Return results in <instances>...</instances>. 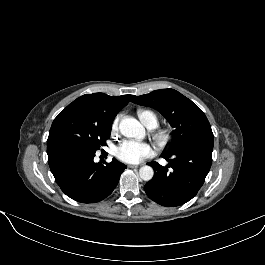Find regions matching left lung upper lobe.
Here are the masks:
<instances>
[{
    "instance_id": "left-lung-upper-lobe-1",
    "label": "left lung upper lobe",
    "mask_w": 265,
    "mask_h": 265,
    "mask_svg": "<svg viewBox=\"0 0 265 265\" xmlns=\"http://www.w3.org/2000/svg\"><path fill=\"white\" fill-rule=\"evenodd\" d=\"M133 103L158 110L174 128L173 141L167 153L175 151L189 139L212 132L205 114L187 97L174 89L155 90L133 96Z\"/></svg>"
}]
</instances>
